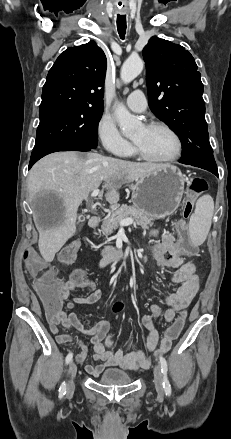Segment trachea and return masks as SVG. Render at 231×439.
I'll return each mask as SVG.
<instances>
[{
    "label": "trachea",
    "mask_w": 231,
    "mask_h": 439,
    "mask_svg": "<svg viewBox=\"0 0 231 439\" xmlns=\"http://www.w3.org/2000/svg\"><path fill=\"white\" fill-rule=\"evenodd\" d=\"M117 29L121 39H124L126 33V16L117 17Z\"/></svg>",
    "instance_id": "3493384b"
}]
</instances>
